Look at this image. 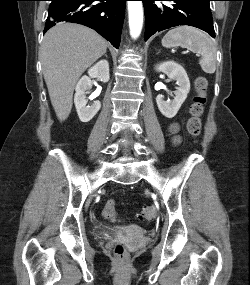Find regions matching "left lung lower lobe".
I'll use <instances>...</instances> for the list:
<instances>
[{"label":"left lung lower lobe","mask_w":250,"mask_h":285,"mask_svg":"<svg viewBox=\"0 0 250 285\" xmlns=\"http://www.w3.org/2000/svg\"><path fill=\"white\" fill-rule=\"evenodd\" d=\"M145 11V41L156 32L189 25L215 37L209 2L212 0H142ZM155 1H162L161 4Z\"/></svg>","instance_id":"1"}]
</instances>
